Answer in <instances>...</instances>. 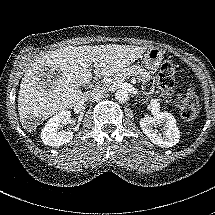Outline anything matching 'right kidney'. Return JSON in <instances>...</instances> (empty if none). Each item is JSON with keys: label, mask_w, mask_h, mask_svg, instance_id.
Segmentation results:
<instances>
[{"label": "right kidney", "mask_w": 215, "mask_h": 215, "mask_svg": "<svg viewBox=\"0 0 215 215\" xmlns=\"http://www.w3.org/2000/svg\"><path fill=\"white\" fill-rule=\"evenodd\" d=\"M71 120V112L63 110L45 124L41 132V139L45 145L59 147L63 144L69 143L73 138L72 131H59L62 125H67Z\"/></svg>", "instance_id": "ca27d5eb"}]
</instances>
